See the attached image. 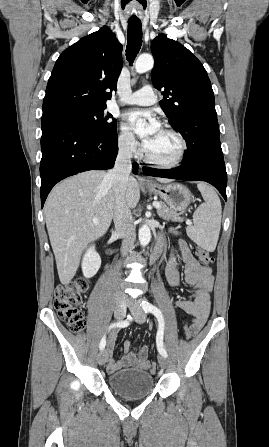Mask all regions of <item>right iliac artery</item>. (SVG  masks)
Wrapping results in <instances>:
<instances>
[{"mask_svg":"<svg viewBox=\"0 0 269 447\" xmlns=\"http://www.w3.org/2000/svg\"><path fill=\"white\" fill-rule=\"evenodd\" d=\"M130 319H131V316L128 315L126 321H119V322H117V323L111 324V325L109 326V329H111V328H113V327H115V326H119V327H125V326H128V325H129V321H130ZM105 345H106V337H105V335H104L103 338H102L101 341H100V345H99L100 350L104 349V348H105Z\"/></svg>","mask_w":269,"mask_h":447,"instance_id":"82829eb1","label":"right iliac artery"}]
</instances>
